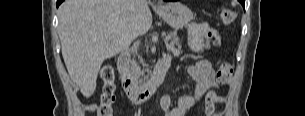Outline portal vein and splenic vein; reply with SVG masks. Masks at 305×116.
I'll return each instance as SVG.
<instances>
[{
	"instance_id": "portal-vein-and-splenic-vein-1",
	"label": "portal vein and splenic vein",
	"mask_w": 305,
	"mask_h": 116,
	"mask_svg": "<svg viewBox=\"0 0 305 116\" xmlns=\"http://www.w3.org/2000/svg\"><path fill=\"white\" fill-rule=\"evenodd\" d=\"M170 39H171L170 36H166L165 39H164V41L167 42V41H169Z\"/></svg>"
}]
</instances>
